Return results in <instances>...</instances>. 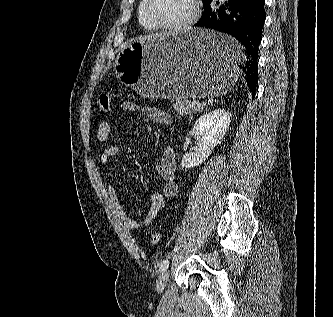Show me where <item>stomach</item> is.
Wrapping results in <instances>:
<instances>
[{"mask_svg": "<svg viewBox=\"0 0 333 317\" xmlns=\"http://www.w3.org/2000/svg\"><path fill=\"white\" fill-rule=\"evenodd\" d=\"M244 45L222 29H190L128 43L117 55L122 83L145 98L184 100L219 96L241 82Z\"/></svg>", "mask_w": 333, "mask_h": 317, "instance_id": "0dacf381", "label": "stomach"}]
</instances>
